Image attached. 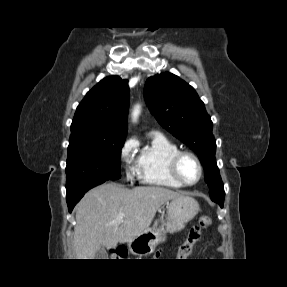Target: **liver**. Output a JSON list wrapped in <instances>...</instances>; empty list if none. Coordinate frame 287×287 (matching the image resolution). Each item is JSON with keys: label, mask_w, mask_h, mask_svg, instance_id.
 <instances>
[{"label": "liver", "mask_w": 287, "mask_h": 287, "mask_svg": "<svg viewBox=\"0 0 287 287\" xmlns=\"http://www.w3.org/2000/svg\"><path fill=\"white\" fill-rule=\"evenodd\" d=\"M181 193L158 186L127 189L106 183L90 190L76 206L73 250L76 259H95L100 247L113 249L148 229L157 210ZM120 213L125 216L116 222Z\"/></svg>", "instance_id": "liver-1"}]
</instances>
